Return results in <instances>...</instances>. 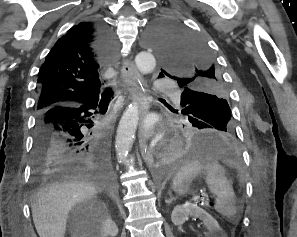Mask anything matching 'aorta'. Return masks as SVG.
Instances as JSON below:
<instances>
[{
    "label": "aorta",
    "instance_id": "1",
    "mask_svg": "<svg viewBox=\"0 0 297 237\" xmlns=\"http://www.w3.org/2000/svg\"><path fill=\"white\" fill-rule=\"evenodd\" d=\"M149 44L154 43L149 39ZM137 69L142 74L152 72L156 67V60L149 52H141L135 57ZM139 120V111L137 103L133 102L124 112L116 136V152L120 162H125L128 152L132 147L133 137Z\"/></svg>",
    "mask_w": 297,
    "mask_h": 237
}]
</instances>
